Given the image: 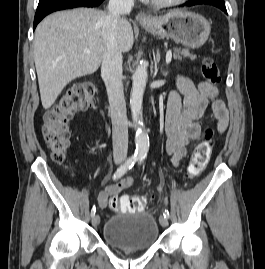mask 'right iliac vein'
Listing matches in <instances>:
<instances>
[{
	"label": "right iliac vein",
	"instance_id": "obj_1",
	"mask_svg": "<svg viewBox=\"0 0 265 269\" xmlns=\"http://www.w3.org/2000/svg\"><path fill=\"white\" fill-rule=\"evenodd\" d=\"M117 164L119 161L116 162ZM100 223V217L98 215L93 216L92 218V225L97 226Z\"/></svg>",
	"mask_w": 265,
	"mask_h": 269
}]
</instances>
